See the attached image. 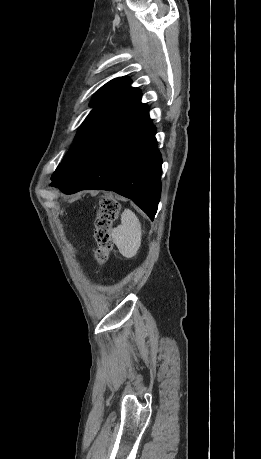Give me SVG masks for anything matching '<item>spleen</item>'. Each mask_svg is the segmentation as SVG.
Returning a JSON list of instances; mask_svg holds the SVG:
<instances>
[{
  "mask_svg": "<svg viewBox=\"0 0 261 459\" xmlns=\"http://www.w3.org/2000/svg\"><path fill=\"white\" fill-rule=\"evenodd\" d=\"M142 230L138 217L130 209L121 215V225L112 230V239L125 258L137 255L141 246Z\"/></svg>",
  "mask_w": 261,
  "mask_h": 459,
  "instance_id": "obj_1",
  "label": "spleen"
}]
</instances>
